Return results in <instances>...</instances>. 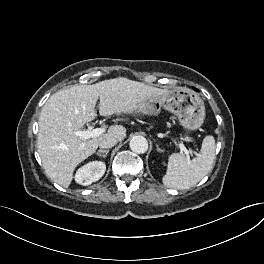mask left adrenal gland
Segmentation results:
<instances>
[{
    "instance_id": "1",
    "label": "left adrenal gland",
    "mask_w": 264,
    "mask_h": 264,
    "mask_svg": "<svg viewBox=\"0 0 264 264\" xmlns=\"http://www.w3.org/2000/svg\"><path fill=\"white\" fill-rule=\"evenodd\" d=\"M156 147H157V151L163 152V150L159 148L158 144H156Z\"/></svg>"
}]
</instances>
